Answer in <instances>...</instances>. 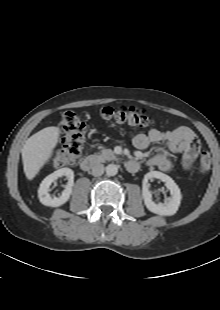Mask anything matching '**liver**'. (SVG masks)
Returning a JSON list of instances; mask_svg holds the SVG:
<instances>
[{"instance_id": "1", "label": "liver", "mask_w": 220, "mask_h": 310, "mask_svg": "<svg viewBox=\"0 0 220 310\" xmlns=\"http://www.w3.org/2000/svg\"><path fill=\"white\" fill-rule=\"evenodd\" d=\"M59 137L60 129L51 126L40 130L27 139L22 149V161L24 173L28 180H32L52 157Z\"/></svg>"}]
</instances>
